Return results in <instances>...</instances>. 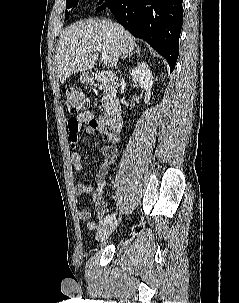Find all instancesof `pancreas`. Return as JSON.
<instances>
[{
  "instance_id": "1",
  "label": "pancreas",
  "mask_w": 239,
  "mask_h": 303,
  "mask_svg": "<svg viewBox=\"0 0 239 303\" xmlns=\"http://www.w3.org/2000/svg\"><path fill=\"white\" fill-rule=\"evenodd\" d=\"M102 105H103V107H105V104H104V100L102 99Z\"/></svg>"
}]
</instances>
